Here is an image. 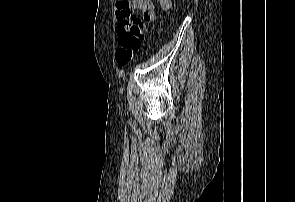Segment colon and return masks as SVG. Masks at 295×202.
Instances as JSON below:
<instances>
[{
	"label": "colon",
	"instance_id": "5ec220e1",
	"mask_svg": "<svg viewBox=\"0 0 295 202\" xmlns=\"http://www.w3.org/2000/svg\"><path fill=\"white\" fill-rule=\"evenodd\" d=\"M143 37V24H130L119 34V48L115 54V60L118 65L126 66L131 62L133 53L140 48Z\"/></svg>",
	"mask_w": 295,
	"mask_h": 202
}]
</instances>
